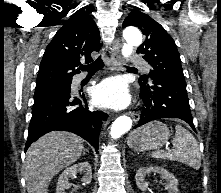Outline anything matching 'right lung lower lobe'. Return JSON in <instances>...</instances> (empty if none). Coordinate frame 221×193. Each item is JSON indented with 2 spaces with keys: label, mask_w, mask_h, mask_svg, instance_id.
<instances>
[{
  "label": "right lung lower lobe",
  "mask_w": 221,
  "mask_h": 193,
  "mask_svg": "<svg viewBox=\"0 0 221 193\" xmlns=\"http://www.w3.org/2000/svg\"><path fill=\"white\" fill-rule=\"evenodd\" d=\"M70 92H49L34 97L25 151L44 134L61 130L81 136L98 152L102 121L106 120L108 115L102 111L90 110L84 96L73 97ZM82 102L85 105L82 106ZM76 105L79 106L75 107Z\"/></svg>",
  "instance_id": "98d812e1"
}]
</instances>
